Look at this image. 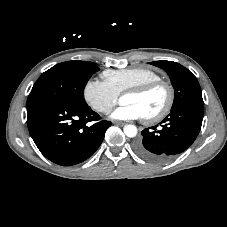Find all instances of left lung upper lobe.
I'll use <instances>...</instances> for the list:
<instances>
[{
	"mask_svg": "<svg viewBox=\"0 0 227 227\" xmlns=\"http://www.w3.org/2000/svg\"><path fill=\"white\" fill-rule=\"evenodd\" d=\"M149 64L165 70L174 87L175 96L173 108L186 103L204 104L201 88L196 77L184 66L173 61H154Z\"/></svg>",
	"mask_w": 227,
	"mask_h": 227,
	"instance_id": "5c2ea615",
	"label": "left lung upper lobe"
}]
</instances>
